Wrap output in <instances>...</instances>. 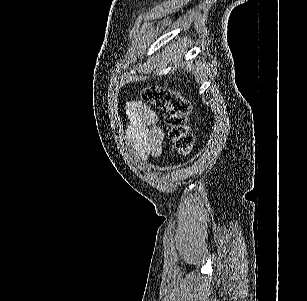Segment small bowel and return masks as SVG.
Instances as JSON below:
<instances>
[{
    "label": "small bowel",
    "instance_id": "c3829d8e",
    "mask_svg": "<svg viewBox=\"0 0 307 301\" xmlns=\"http://www.w3.org/2000/svg\"><path fill=\"white\" fill-rule=\"evenodd\" d=\"M126 137L142 159L161 155L165 146L164 130L158 125L156 113L142 101L126 104Z\"/></svg>",
    "mask_w": 307,
    "mask_h": 301
}]
</instances>
